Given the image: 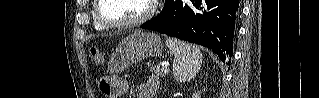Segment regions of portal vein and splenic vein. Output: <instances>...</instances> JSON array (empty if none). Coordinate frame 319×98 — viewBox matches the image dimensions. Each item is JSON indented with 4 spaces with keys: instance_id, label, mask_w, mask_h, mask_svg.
I'll return each mask as SVG.
<instances>
[{
    "instance_id": "18ae733b",
    "label": "portal vein and splenic vein",
    "mask_w": 319,
    "mask_h": 98,
    "mask_svg": "<svg viewBox=\"0 0 319 98\" xmlns=\"http://www.w3.org/2000/svg\"><path fill=\"white\" fill-rule=\"evenodd\" d=\"M168 67H169V64L168 63H163L162 64V69L164 70V71H166V72H168Z\"/></svg>"
}]
</instances>
